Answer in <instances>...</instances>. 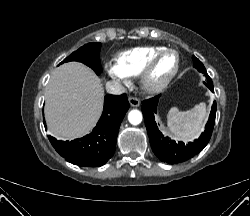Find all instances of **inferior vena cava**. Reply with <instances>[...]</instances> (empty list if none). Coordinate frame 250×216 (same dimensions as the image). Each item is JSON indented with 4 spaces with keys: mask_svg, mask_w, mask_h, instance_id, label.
<instances>
[{
    "mask_svg": "<svg viewBox=\"0 0 250 216\" xmlns=\"http://www.w3.org/2000/svg\"><path fill=\"white\" fill-rule=\"evenodd\" d=\"M106 90L108 93L114 95H121L126 92L125 87L116 81H108L106 83Z\"/></svg>",
    "mask_w": 250,
    "mask_h": 216,
    "instance_id": "1",
    "label": "inferior vena cava"
}]
</instances>
